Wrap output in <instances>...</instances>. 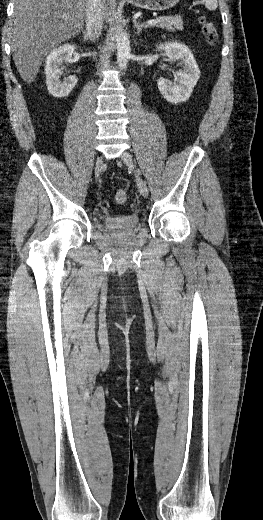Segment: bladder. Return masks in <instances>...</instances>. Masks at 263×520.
Here are the masks:
<instances>
[{
    "label": "bladder",
    "mask_w": 263,
    "mask_h": 520,
    "mask_svg": "<svg viewBox=\"0 0 263 520\" xmlns=\"http://www.w3.org/2000/svg\"><path fill=\"white\" fill-rule=\"evenodd\" d=\"M105 225L107 228L114 231H127L135 229L140 222V217L135 214H122L106 216Z\"/></svg>",
    "instance_id": "obj_1"
}]
</instances>
